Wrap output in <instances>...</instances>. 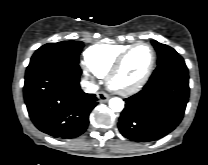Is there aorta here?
<instances>
[{"instance_id": "1", "label": "aorta", "mask_w": 208, "mask_h": 165, "mask_svg": "<svg viewBox=\"0 0 208 165\" xmlns=\"http://www.w3.org/2000/svg\"><path fill=\"white\" fill-rule=\"evenodd\" d=\"M109 107L114 112H121L124 108V102L121 98L114 97L109 100Z\"/></svg>"}]
</instances>
